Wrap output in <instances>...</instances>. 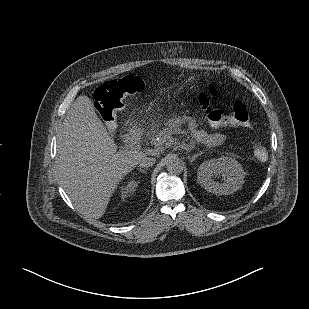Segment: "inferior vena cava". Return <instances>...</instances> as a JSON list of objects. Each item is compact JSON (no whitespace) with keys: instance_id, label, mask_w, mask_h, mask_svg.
<instances>
[{"instance_id":"inferior-vena-cava-1","label":"inferior vena cava","mask_w":309,"mask_h":309,"mask_svg":"<svg viewBox=\"0 0 309 309\" xmlns=\"http://www.w3.org/2000/svg\"><path fill=\"white\" fill-rule=\"evenodd\" d=\"M156 159L155 158H152V157H142L140 160H139V166L141 168H148L150 166H153V164L155 163Z\"/></svg>"}]
</instances>
